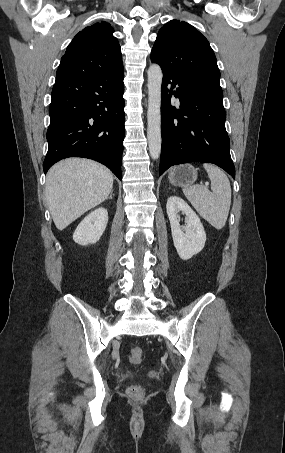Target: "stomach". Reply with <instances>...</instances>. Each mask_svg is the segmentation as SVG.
Returning <instances> with one entry per match:
<instances>
[{
  "mask_svg": "<svg viewBox=\"0 0 285 453\" xmlns=\"http://www.w3.org/2000/svg\"><path fill=\"white\" fill-rule=\"evenodd\" d=\"M169 182L174 186L187 187L197 179V169L190 164L173 167L168 175Z\"/></svg>",
  "mask_w": 285,
  "mask_h": 453,
  "instance_id": "stomach-1",
  "label": "stomach"
}]
</instances>
